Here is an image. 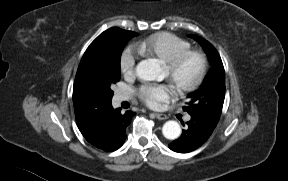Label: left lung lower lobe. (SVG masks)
<instances>
[{
	"instance_id": "0a47b994",
	"label": "left lung lower lobe",
	"mask_w": 288,
	"mask_h": 181,
	"mask_svg": "<svg viewBox=\"0 0 288 181\" xmlns=\"http://www.w3.org/2000/svg\"><path fill=\"white\" fill-rule=\"evenodd\" d=\"M217 123L202 115L192 114L191 120L186 123L187 129L183 130L179 139L169 144V148L179 153H188L197 149L207 141Z\"/></svg>"
}]
</instances>
